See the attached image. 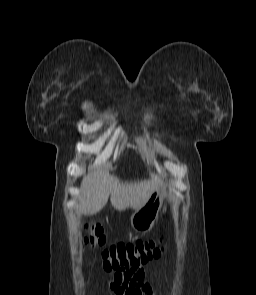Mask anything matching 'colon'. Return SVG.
Returning <instances> with one entry per match:
<instances>
[{"label":"colon","mask_w":256,"mask_h":295,"mask_svg":"<svg viewBox=\"0 0 256 295\" xmlns=\"http://www.w3.org/2000/svg\"><path fill=\"white\" fill-rule=\"evenodd\" d=\"M85 230L88 233L85 238L86 244L93 247L105 244L106 237L101 225L87 224ZM165 247L163 236L158 239L112 245L102 252L103 268L106 271L141 268L150 261L160 258Z\"/></svg>","instance_id":"5ec220e1"}]
</instances>
